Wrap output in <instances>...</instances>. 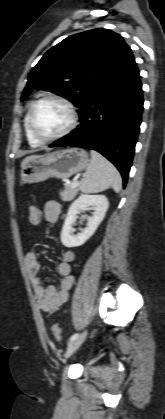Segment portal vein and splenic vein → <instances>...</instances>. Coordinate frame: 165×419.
Segmentation results:
<instances>
[{"label": "portal vein and splenic vein", "mask_w": 165, "mask_h": 419, "mask_svg": "<svg viewBox=\"0 0 165 419\" xmlns=\"http://www.w3.org/2000/svg\"><path fill=\"white\" fill-rule=\"evenodd\" d=\"M72 184H73V186H78V181L77 180H74L73 182H72Z\"/></svg>", "instance_id": "1"}]
</instances>
